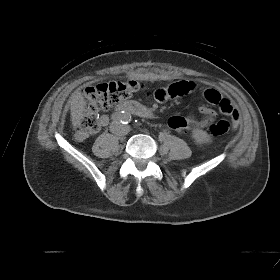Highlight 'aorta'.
Returning a JSON list of instances; mask_svg holds the SVG:
<instances>
[{
    "instance_id": "1",
    "label": "aorta",
    "mask_w": 280,
    "mask_h": 280,
    "mask_svg": "<svg viewBox=\"0 0 280 280\" xmlns=\"http://www.w3.org/2000/svg\"><path fill=\"white\" fill-rule=\"evenodd\" d=\"M130 118H131V115L128 112H122L120 114V120L123 123L128 122L130 120Z\"/></svg>"
}]
</instances>
